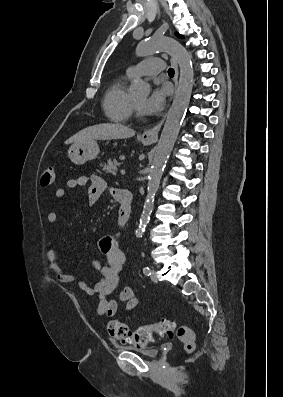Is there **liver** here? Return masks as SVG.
Returning <instances> with one entry per match:
<instances>
[{"mask_svg": "<svg viewBox=\"0 0 283 397\" xmlns=\"http://www.w3.org/2000/svg\"><path fill=\"white\" fill-rule=\"evenodd\" d=\"M135 135V131L119 123H102L82 129L68 140L65 144L79 143L87 140H110L125 139Z\"/></svg>", "mask_w": 283, "mask_h": 397, "instance_id": "6515ba94", "label": "liver"}]
</instances>
